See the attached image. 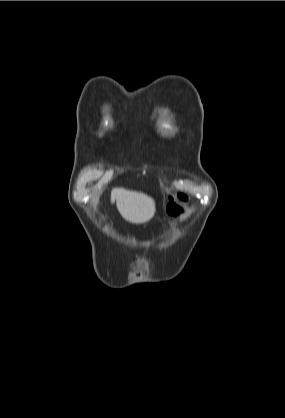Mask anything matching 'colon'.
<instances>
[{
  "label": "colon",
  "instance_id": "5ec220e1",
  "mask_svg": "<svg viewBox=\"0 0 285 418\" xmlns=\"http://www.w3.org/2000/svg\"><path fill=\"white\" fill-rule=\"evenodd\" d=\"M167 212L169 216L173 218H177L182 212L181 206L178 204L174 197L170 198L169 204L167 206Z\"/></svg>",
  "mask_w": 285,
  "mask_h": 418
}]
</instances>
